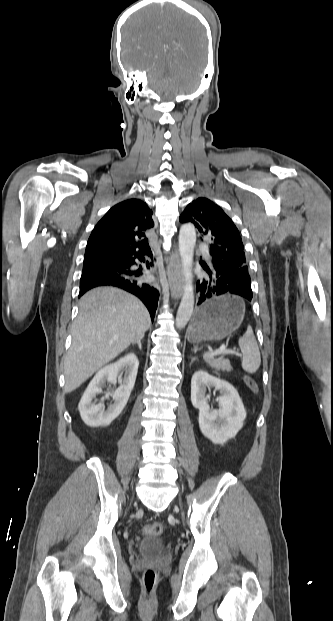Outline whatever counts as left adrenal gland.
Instances as JSON below:
<instances>
[{"mask_svg": "<svg viewBox=\"0 0 333 621\" xmlns=\"http://www.w3.org/2000/svg\"><path fill=\"white\" fill-rule=\"evenodd\" d=\"M196 360V358H191V363L190 365Z\"/></svg>", "mask_w": 333, "mask_h": 621, "instance_id": "left-adrenal-gland-1", "label": "left adrenal gland"}]
</instances>
